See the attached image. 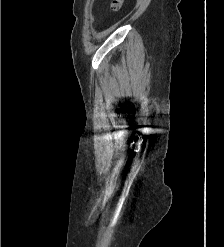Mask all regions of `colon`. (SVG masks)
<instances>
[{
	"label": "colon",
	"mask_w": 224,
	"mask_h": 247,
	"mask_svg": "<svg viewBox=\"0 0 224 247\" xmlns=\"http://www.w3.org/2000/svg\"><path fill=\"white\" fill-rule=\"evenodd\" d=\"M124 0H112L111 9L117 11L122 7Z\"/></svg>",
	"instance_id": "1"
}]
</instances>
